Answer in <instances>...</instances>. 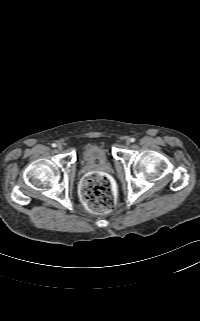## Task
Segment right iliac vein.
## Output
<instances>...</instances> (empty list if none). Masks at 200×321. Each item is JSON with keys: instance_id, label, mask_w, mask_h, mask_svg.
<instances>
[{"instance_id": "1", "label": "right iliac vein", "mask_w": 200, "mask_h": 321, "mask_svg": "<svg viewBox=\"0 0 200 321\" xmlns=\"http://www.w3.org/2000/svg\"><path fill=\"white\" fill-rule=\"evenodd\" d=\"M57 148H58L59 150H62V149H63L62 144L59 143V144L57 145Z\"/></svg>"}]
</instances>
